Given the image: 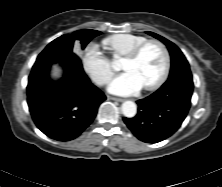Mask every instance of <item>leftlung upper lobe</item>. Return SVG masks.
<instances>
[{
  "label": "left lung upper lobe",
  "instance_id": "left-lung-upper-lobe-1",
  "mask_svg": "<svg viewBox=\"0 0 222 187\" xmlns=\"http://www.w3.org/2000/svg\"><path fill=\"white\" fill-rule=\"evenodd\" d=\"M147 33L162 41L170 52L171 69L167 81L178 78L182 73H191L188 61L186 60L181 50L174 43L153 32Z\"/></svg>",
  "mask_w": 222,
  "mask_h": 187
}]
</instances>
